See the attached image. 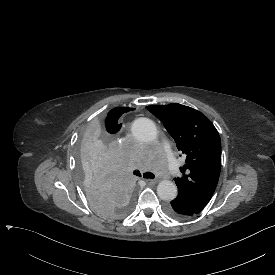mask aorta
Segmentation results:
<instances>
[{
    "label": "aorta",
    "instance_id": "1",
    "mask_svg": "<svg viewBox=\"0 0 275 275\" xmlns=\"http://www.w3.org/2000/svg\"><path fill=\"white\" fill-rule=\"evenodd\" d=\"M133 136L140 141H151L155 139L157 131L154 122L146 117L134 120L131 126ZM157 194L164 201H172L177 197V187L171 181H162L158 184Z\"/></svg>",
    "mask_w": 275,
    "mask_h": 275
}]
</instances>
